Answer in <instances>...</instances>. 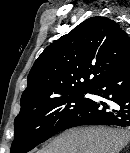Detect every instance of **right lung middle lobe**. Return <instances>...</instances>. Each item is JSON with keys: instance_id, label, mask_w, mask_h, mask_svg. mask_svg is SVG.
<instances>
[{"instance_id": "right-lung-middle-lobe-1", "label": "right lung middle lobe", "mask_w": 130, "mask_h": 153, "mask_svg": "<svg viewBox=\"0 0 130 153\" xmlns=\"http://www.w3.org/2000/svg\"><path fill=\"white\" fill-rule=\"evenodd\" d=\"M87 93L91 91L57 97L18 115L14 120L11 153H27L63 130L67 122L91 100L84 97Z\"/></svg>"}]
</instances>
